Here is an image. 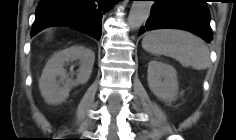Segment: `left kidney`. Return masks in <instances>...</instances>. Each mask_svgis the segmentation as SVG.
Wrapping results in <instances>:
<instances>
[{"mask_svg":"<svg viewBox=\"0 0 236 140\" xmlns=\"http://www.w3.org/2000/svg\"><path fill=\"white\" fill-rule=\"evenodd\" d=\"M147 80L150 90L163 101L173 100L178 91L177 72L171 65L152 60L148 63Z\"/></svg>","mask_w":236,"mask_h":140,"instance_id":"1","label":"left kidney"}]
</instances>
